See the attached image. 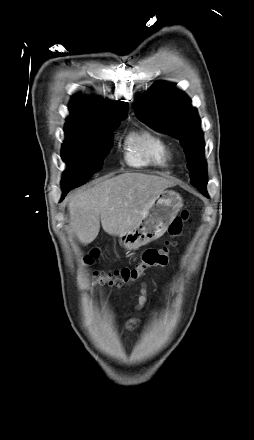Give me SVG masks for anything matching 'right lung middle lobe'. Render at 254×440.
Listing matches in <instances>:
<instances>
[{"label":"right lung middle lobe","instance_id":"obj_1","mask_svg":"<svg viewBox=\"0 0 254 440\" xmlns=\"http://www.w3.org/2000/svg\"><path fill=\"white\" fill-rule=\"evenodd\" d=\"M119 123L103 128L65 125L61 157L69 166L62 178V189L70 191L86 183L102 169L103 160L113 146L112 133Z\"/></svg>","mask_w":254,"mask_h":440}]
</instances>
